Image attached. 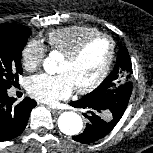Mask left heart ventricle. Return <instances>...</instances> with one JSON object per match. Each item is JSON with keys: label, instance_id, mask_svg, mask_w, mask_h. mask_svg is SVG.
Returning <instances> with one entry per match:
<instances>
[{"label": "left heart ventricle", "instance_id": "obj_1", "mask_svg": "<svg viewBox=\"0 0 153 153\" xmlns=\"http://www.w3.org/2000/svg\"><path fill=\"white\" fill-rule=\"evenodd\" d=\"M110 43L100 38L91 42L73 62L62 59L58 72L65 74L74 88L90 84L102 71L109 56Z\"/></svg>", "mask_w": 153, "mask_h": 153}]
</instances>
